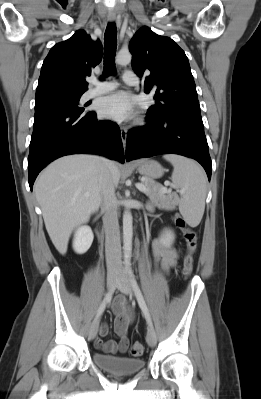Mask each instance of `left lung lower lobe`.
<instances>
[{
	"label": "left lung lower lobe",
	"instance_id": "obj_1",
	"mask_svg": "<svg viewBox=\"0 0 261 399\" xmlns=\"http://www.w3.org/2000/svg\"><path fill=\"white\" fill-rule=\"evenodd\" d=\"M148 125L128 132L126 160L179 154L198 161L211 178L212 162L200 109L184 108L165 116L147 113Z\"/></svg>",
	"mask_w": 261,
	"mask_h": 399
}]
</instances>
